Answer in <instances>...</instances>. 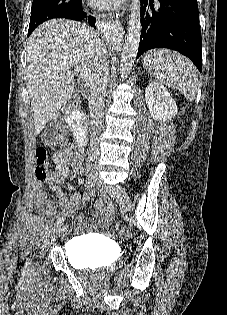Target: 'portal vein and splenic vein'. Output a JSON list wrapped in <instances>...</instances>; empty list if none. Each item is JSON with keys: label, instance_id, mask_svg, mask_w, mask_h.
Returning a JSON list of instances; mask_svg holds the SVG:
<instances>
[{"label": "portal vein and splenic vein", "instance_id": "1", "mask_svg": "<svg viewBox=\"0 0 227 315\" xmlns=\"http://www.w3.org/2000/svg\"><path fill=\"white\" fill-rule=\"evenodd\" d=\"M75 71L78 72L79 75L86 80V82L90 81L91 75L87 70L81 67H77Z\"/></svg>", "mask_w": 227, "mask_h": 315}]
</instances>
